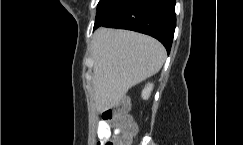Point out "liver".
I'll use <instances>...</instances> for the list:
<instances>
[{
    "label": "liver",
    "mask_w": 243,
    "mask_h": 145,
    "mask_svg": "<svg viewBox=\"0 0 243 145\" xmlns=\"http://www.w3.org/2000/svg\"><path fill=\"white\" fill-rule=\"evenodd\" d=\"M93 89L99 112L117 106L128 90L156 74L166 50L156 39L140 33L99 28L93 37Z\"/></svg>",
    "instance_id": "6515ba94"
}]
</instances>
